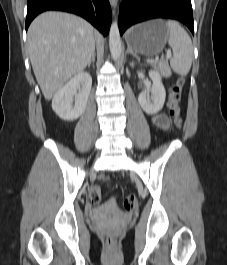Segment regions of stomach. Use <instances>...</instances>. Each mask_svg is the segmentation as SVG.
Listing matches in <instances>:
<instances>
[{
	"label": "stomach",
	"instance_id": "0dacf381",
	"mask_svg": "<svg viewBox=\"0 0 227 265\" xmlns=\"http://www.w3.org/2000/svg\"><path fill=\"white\" fill-rule=\"evenodd\" d=\"M169 31L161 20H152L132 27L126 34L130 49L146 56L160 53L168 40Z\"/></svg>",
	"mask_w": 227,
	"mask_h": 265
}]
</instances>
